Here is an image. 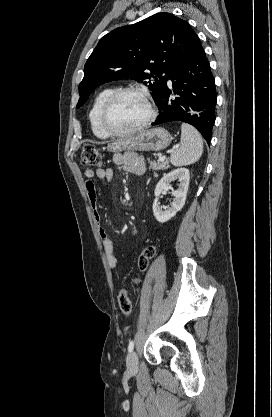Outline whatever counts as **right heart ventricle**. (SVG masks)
<instances>
[{
	"mask_svg": "<svg viewBox=\"0 0 272 417\" xmlns=\"http://www.w3.org/2000/svg\"><path fill=\"white\" fill-rule=\"evenodd\" d=\"M115 89L113 87H107L101 90L94 98L93 103L91 105L89 111V121L92 132L94 135L100 139H106L109 136L102 130L100 125V111L105 102V100L109 97V95L114 92Z\"/></svg>",
	"mask_w": 272,
	"mask_h": 417,
	"instance_id": "obj_1",
	"label": "right heart ventricle"
}]
</instances>
